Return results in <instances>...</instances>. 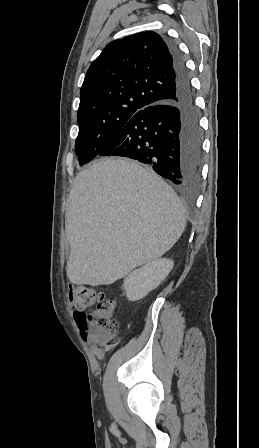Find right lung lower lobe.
<instances>
[{"label": "right lung lower lobe", "instance_id": "right-lung-lower-lobe-1", "mask_svg": "<svg viewBox=\"0 0 259 448\" xmlns=\"http://www.w3.org/2000/svg\"><path fill=\"white\" fill-rule=\"evenodd\" d=\"M176 85L174 95L137 112L99 156H124L151 166L179 186L198 183L202 133L184 61L173 42L167 43Z\"/></svg>", "mask_w": 259, "mask_h": 448}]
</instances>
